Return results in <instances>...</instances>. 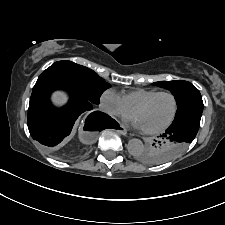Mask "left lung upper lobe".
<instances>
[{"label": "left lung upper lobe", "instance_id": "1", "mask_svg": "<svg viewBox=\"0 0 225 225\" xmlns=\"http://www.w3.org/2000/svg\"><path fill=\"white\" fill-rule=\"evenodd\" d=\"M153 84L170 90L174 95L178 106L174 120L192 113L203 112L201 94L192 83L180 80L160 81ZM175 144H180V142L162 136L159 140L155 141L152 146L139 153L137 158L147 164L164 163L160 158L167 156L168 152L174 148ZM187 146L188 144L183 146L181 152H183Z\"/></svg>", "mask_w": 225, "mask_h": 225}]
</instances>
